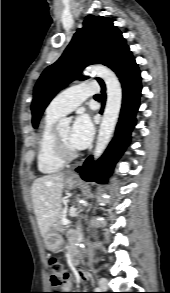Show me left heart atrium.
I'll use <instances>...</instances> for the list:
<instances>
[{"label": "left heart atrium", "instance_id": "39dd6f15", "mask_svg": "<svg viewBox=\"0 0 170 293\" xmlns=\"http://www.w3.org/2000/svg\"><path fill=\"white\" fill-rule=\"evenodd\" d=\"M93 137V125L86 115L79 116L70 129V143L75 149H84Z\"/></svg>", "mask_w": 170, "mask_h": 293}]
</instances>
